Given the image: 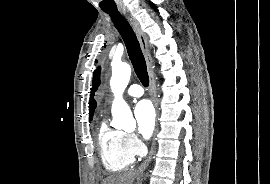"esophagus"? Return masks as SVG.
Masks as SVG:
<instances>
[{
  "label": "esophagus",
  "mask_w": 270,
  "mask_h": 184,
  "mask_svg": "<svg viewBox=\"0 0 270 184\" xmlns=\"http://www.w3.org/2000/svg\"><path fill=\"white\" fill-rule=\"evenodd\" d=\"M120 12L124 15V17L128 20V22L132 26L134 32L137 35V38H138V41L140 43L142 52L144 54L146 64H147L149 82H150V95H151V99H152V102L154 104V107L156 109L157 119H158L159 111H158V103H157V98H156L155 80H154V75H153V71H152V58H151V54H150V50H149V46H148V42H147V37H146L145 33L142 31V29H141L138 21L136 20V18H134L126 8H120ZM157 131H158V121L156 123V128H155V131H154V137L156 136ZM153 152H154V142H153V145L151 147V150L149 152L148 157L140 165L139 171L145 170V168L147 167V165L151 161Z\"/></svg>",
  "instance_id": "1"
}]
</instances>
